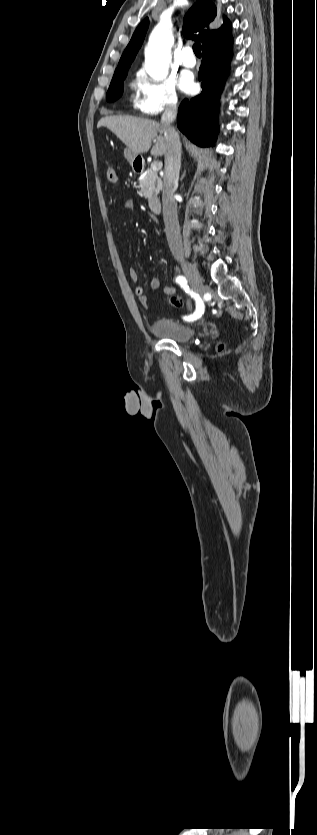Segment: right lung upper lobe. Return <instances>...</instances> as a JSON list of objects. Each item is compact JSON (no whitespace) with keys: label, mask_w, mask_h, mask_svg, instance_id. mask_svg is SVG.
Here are the masks:
<instances>
[{"label":"right lung upper lobe","mask_w":317,"mask_h":835,"mask_svg":"<svg viewBox=\"0 0 317 835\" xmlns=\"http://www.w3.org/2000/svg\"><path fill=\"white\" fill-rule=\"evenodd\" d=\"M214 1H197L184 17L183 34L187 38L191 37L200 40L202 46L231 32V24L227 19H224L223 25L219 29H216V25L220 19V12ZM148 25L149 20L146 18L137 27L115 71L130 67L142 45Z\"/></svg>","instance_id":"cb5924a9"}]
</instances>
